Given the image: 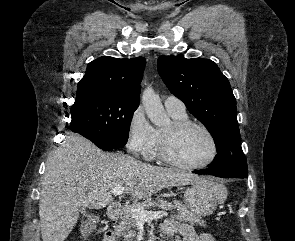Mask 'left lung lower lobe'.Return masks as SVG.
Instances as JSON below:
<instances>
[{
	"label": "left lung lower lobe",
	"mask_w": 295,
	"mask_h": 241,
	"mask_svg": "<svg viewBox=\"0 0 295 241\" xmlns=\"http://www.w3.org/2000/svg\"><path fill=\"white\" fill-rule=\"evenodd\" d=\"M193 173L196 174H209V175H213V176H217V177H225V178H241L237 175H227L224 174L222 172L216 171V170H212V169H202V170H198V171H193Z\"/></svg>",
	"instance_id": "left-lung-lower-lobe-1"
}]
</instances>
